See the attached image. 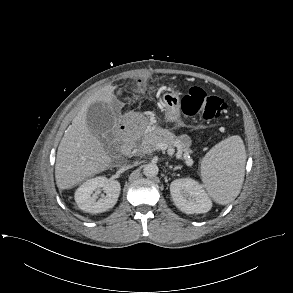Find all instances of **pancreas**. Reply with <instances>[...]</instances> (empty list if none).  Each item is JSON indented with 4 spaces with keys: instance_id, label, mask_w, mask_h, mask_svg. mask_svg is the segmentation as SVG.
Segmentation results:
<instances>
[{
    "instance_id": "pancreas-1",
    "label": "pancreas",
    "mask_w": 293,
    "mask_h": 293,
    "mask_svg": "<svg viewBox=\"0 0 293 293\" xmlns=\"http://www.w3.org/2000/svg\"><path fill=\"white\" fill-rule=\"evenodd\" d=\"M140 137L142 142L139 145L137 151L142 154H150L154 152L157 149L158 143L163 142L169 146H172L175 141H180L179 138L174 136L168 130L160 127H153L148 131H142ZM181 146L185 153L189 154L191 152L187 146Z\"/></svg>"
}]
</instances>
